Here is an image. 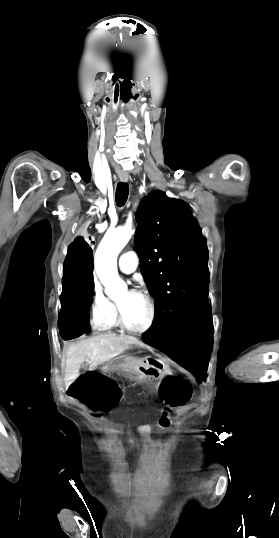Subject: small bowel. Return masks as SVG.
Listing matches in <instances>:
<instances>
[{
  "label": "small bowel",
  "instance_id": "1",
  "mask_svg": "<svg viewBox=\"0 0 279 538\" xmlns=\"http://www.w3.org/2000/svg\"><path fill=\"white\" fill-rule=\"evenodd\" d=\"M148 388L167 405L168 410H175L185 406L192 397V392L187 381L182 377L174 375H159L153 382L148 384ZM168 410L162 413L159 420L162 428H168L170 426ZM142 430L149 433L151 427L145 426Z\"/></svg>",
  "mask_w": 279,
  "mask_h": 538
}]
</instances>
